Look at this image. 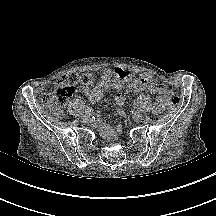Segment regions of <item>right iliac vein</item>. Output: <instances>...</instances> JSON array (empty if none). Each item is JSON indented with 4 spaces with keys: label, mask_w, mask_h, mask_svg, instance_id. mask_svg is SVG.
Wrapping results in <instances>:
<instances>
[{
    "label": "right iliac vein",
    "mask_w": 216,
    "mask_h": 216,
    "mask_svg": "<svg viewBox=\"0 0 216 216\" xmlns=\"http://www.w3.org/2000/svg\"><path fill=\"white\" fill-rule=\"evenodd\" d=\"M89 120H90V115L85 114V115L82 116V121L83 122H88Z\"/></svg>",
    "instance_id": "1"
}]
</instances>
